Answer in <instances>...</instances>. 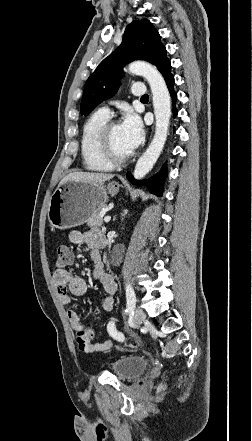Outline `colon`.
<instances>
[{
    "instance_id": "1",
    "label": "colon",
    "mask_w": 252,
    "mask_h": 441,
    "mask_svg": "<svg viewBox=\"0 0 252 441\" xmlns=\"http://www.w3.org/2000/svg\"><path fill=\"white\" fill-rule=\"evenodd\" d=\"M72 262V253L68 246L59 245L57 247V259L56 265L58 268H64L68 266ZM94 327H84L81 330L77 331V342L79 344V348L83 352H87L88 345L90 343V338L93 334Z\"/></svg>"
}]
</instances>
